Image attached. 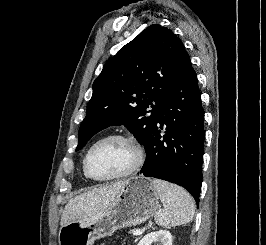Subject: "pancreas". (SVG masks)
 Wrapping results in <instances>:
<instances>
[{
    "mask_svg": "<svg viewBox=\"0 0 266 245\" xmlns=\"http://www.w3.org/2000/svg\"><path fill=\"white\" fill-rule=\"evenodd\" d=\"M133 231H138V229H133ZM133 231H129V233H133Z\"/></svg>",
    "mask_w": 266,
    "mask_h": 245,
    "instance_id": "1",
    "label": "pancreas"
}]
</instances>
